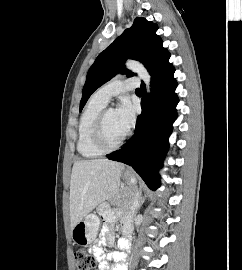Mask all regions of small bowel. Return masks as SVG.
<instances>
[{"instance_id": "obj_1", "label": "small bowel", "mask_w": 242, "mask_h": 270, "mask_svg": "<svg viewBox=\"0 0 242 270\" xmlns=\"http://www.w3.org/2000/svg\"><path fill=\"white\" fill-rule=\"evenodd\" d=\"M103 219L105 225L100 233V242L96 245H93L90 251L99 262L100 270H126V256L123 252L115 251L106 255L103 248L106 246L111 247L114 245L112 226L118 220L121 223V229L123 234L125 235L118 242V245L121 248H126L129 245V236L132 231L131 221L128 218L119 219L114 213L109 211L103 213ZM112 261L116 262V264L113 267H110L109 264Z\"/></svg>"}]
</instances>
